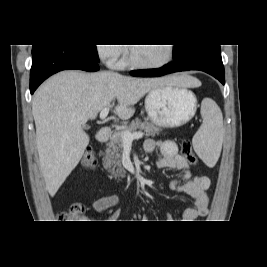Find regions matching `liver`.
<instances>
[{
	"mask_svg": "<svg viewBox=\"0 0 267 267\" xmlns=\"http://www.w3.org/2000/svg\"><path fill=\"white\" fill-rule=\"evenodd\" d=\"M169 85L199 87L201 82L185 74L134 78L110 71H62L43 83L34 94L32 114L41 172L50 196L56 194L89 144L83 130L87 120L95 119L115 99L117 115L127 120L146 93Z\"/></svg>",
	"mask_w": 267,
	"mask_h": 267,
	"instance_id": "liver-1",
	"label": "liver"
}]
</instances>
